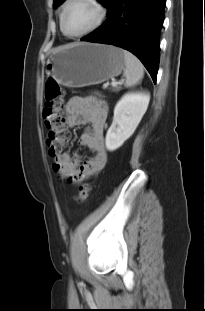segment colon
<instances>
[{
    "label": "colon",
    "mask_w": 205,
    "mask_h": 311,
    "mask_svg": "<svg viewBox=\"0 0 205 311\" xmlns=\"http://www.w3.org/2000/svg\"><path fill=\"white\" fill-rule=\"evenodd\" d=\"M45 102L43 106V118L48 130L47 146L49 154L57 157L63 153L68 145L70 134L65 129L63 118L64 92L55 80H48L45 84ZM90 193V185L85 183L80 186L75 197L78 202H84Z\"/></svg>",
    "instance_id": "5ec220e1"
}]
</instances>
